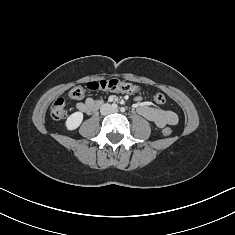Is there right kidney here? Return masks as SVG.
<instances>
[{"instance_id":"ca27d5eb","label":"right kidney","mask_w":235,"mask_h":235,"mask_svg":"<svg viewBox=\"0 0 235 235\" xmlns=\"http://www.w3.org/2000/svg\"><path fill=\"white\" fill-rule=\"evenodd\" d=\"M82 121H83V113L75 112L67 118L65 126L68 130H75L80 126Z\"/></svg>"}]
</instances>
